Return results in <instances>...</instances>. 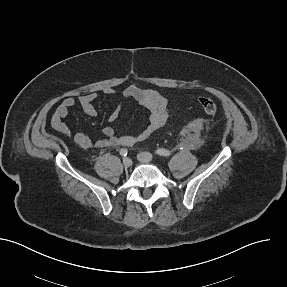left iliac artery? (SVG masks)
I'll use <instances>...</instances> for the list:
<instances>
[{"label": "left iliac artery", "mask_w": 287, "mask_h": 287, "mask_svg": "<svg viewBox=\"0 0 287 287\" xmlns=\"http://www.w3.org/2000/svg\"><path fill=\"white\" fill-rule=\"evenodd\" d=\"M180 147H181L180 149L184 148V146H181V145ZM156 154L163 156V157H169L171 155V152L167 149L159 148L158 150H156Z\"/></svg>", "instance_id": "44dca946"}]
</instances>
